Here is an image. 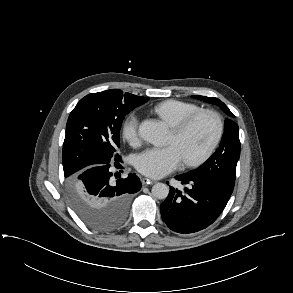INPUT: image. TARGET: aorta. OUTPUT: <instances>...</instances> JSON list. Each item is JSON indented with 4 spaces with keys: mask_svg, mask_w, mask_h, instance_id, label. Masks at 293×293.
Segmentation results:
<instances>
[{
    "mask_svg": "<svg viewBox=\"0 0 293 293\" xmlns=\"http://www.w3.org/2000/svg\"><path fill=\"white\" fill-rule=\"evenodd\" d=\"M139 135L146 141L161 145L167 135V128L161 121L147 119L139 126ZM169 194V187L164 183H156L152 187V195L156 199H166Z\"/></svg>",
    "mask_w": 293,
    "mask_h": 293,
    "instance_id": "1",
    "label": "aorta"
}]
</instances>
